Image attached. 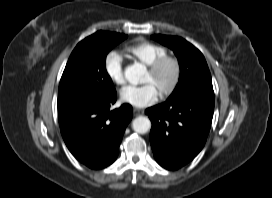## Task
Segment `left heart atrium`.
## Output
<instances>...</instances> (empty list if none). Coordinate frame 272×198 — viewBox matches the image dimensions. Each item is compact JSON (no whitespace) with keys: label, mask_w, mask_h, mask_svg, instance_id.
Returning <instances> with one entry per match:
<instances>
[{"label":"left heart atrium","mask_w":272,"mask_h":198,"mask_svg":"<svg viewBox=\"0 0 272 198\" xmlns=\"http://www.w3.org/2000/svg\"><path fill=\"white\" fill-rule=\"evenodd\" d=\"M159 93L151 83L127 86L120 92V100L134 107H144L156 102Z\"/></svg>","instance_id":"39dd6f15"}]
</instances>
